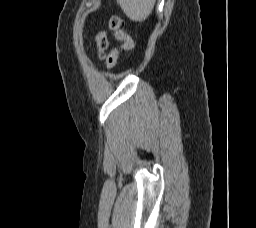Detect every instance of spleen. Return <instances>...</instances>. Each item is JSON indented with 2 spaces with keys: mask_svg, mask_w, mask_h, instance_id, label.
Returning <instances> with one entry per match:
<instances>
[{
  "mask_svg": "<svg viewBox=\"0 0 256 228\" xmlns=\"http://www.w3.org/2000/svg\"><path fill=\"white\" fill-rule=\"evenodd\" d=\"M117 3L130 20L142 22L151 14L155 0H117Z\"/></svg>",
  "mask_w": 256,
  "mask_h": 228,
  "instance_id": "spleen-1",
  "label": "spleen"
}]
</instances>
